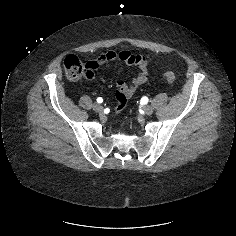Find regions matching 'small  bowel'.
Here are the masks:
<instances>
[{
	"mask_svg": "<svg viewBox=\"0 0 236 236\" xmlns=\"http://www.w3.org/2000/svg\"><path fill=\"white\" fill-rule=\"evenodd\" d=\"M115 60L122 61L129 66H135L140 70V72L132 79L130 84H126L125 82L120 80L116 82V94L118 93L123 95L125 97V102H126V100L132 97L136 92V90L147 81L148 79L147 60L143 55L134 54L128 50L107 51L97 59L88 61L87 66L92 71L93 73L92 77H93L98 69L102 68L103 66ZM124 106L125 103L123 105H120L117 102L116 98L115 112L120 113L123 110Z\"/></svg>",
	"mask_w": 236,
	"mask_h": 236,
	"instance_id": "c3829d8e",
	"label": "small bowel"
}]
</instances>
